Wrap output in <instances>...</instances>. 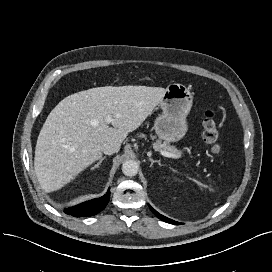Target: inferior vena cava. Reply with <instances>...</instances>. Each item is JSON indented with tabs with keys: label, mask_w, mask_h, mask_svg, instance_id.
<instances>
[{
	"label": "inferior vena cava",
	"mask_w": 272,
	"mask_h": 272,
	"mask_svg": "<svg viewBox=\"0 0 272 272\" xmlns=\"http://www.w3.org/2000/svg\"><path fill=\"white\" fill-rule=\"evenodd\" d=\"M101 151L104 154L111 155L113 153L118 152L119 151V147L115 143L106 142V143L102 144Z\"/></svg>",
	"instance_id": "602c4592"
}]
</instances>
